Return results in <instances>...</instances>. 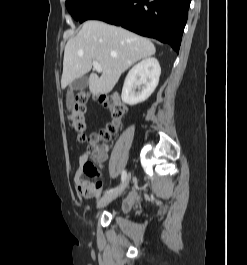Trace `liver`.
Returning a JSON list of instances; mask_svg holds the SVG:
<instances>
[{
  "instance_id": "liver-1",
  "label": "liver",
  "mask_w": 247,
  "mask_h": 265,
  "mask_svg": "<svg viewBox=\"0 0 247 265\" xmlns=\"http://www.w3.org/2000/svg\"><path fill=\"white\" fill-rule=\"evenodd\" d=\"M155 52L149 39L101 21H87L65 46L61 87L64 89L84 76L92 69L93 61H97L102 74L100 77L90 74L89 89L93 95L108 94L122 73Z\"/></svg>"
}]
</instances>
